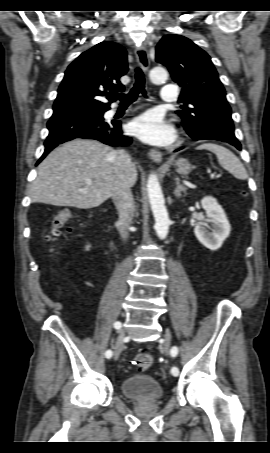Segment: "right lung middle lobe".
Here are the masks:
<instances>
[{
	"mask_svg": "<svg viewBox=\"0 0 270 453\" xmlns=\"http://www.w3.org/2000/svg\"><path fill=\"white\" fill-rule=\"evenodd\" d=\"M88 114H91V115H94V116H98V115H103V111L102 110H88V111H84Z\"/></svg>",
	"mask_w": 270,
	"mask_h": 453,
	"instance_id": "dd1d6c3e",
	"label": "right lung middle lobe"
}]
</instances>
